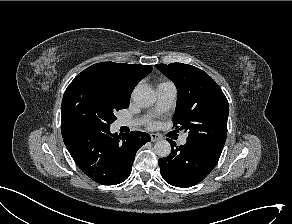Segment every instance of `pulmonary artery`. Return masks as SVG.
I'll list each match as a JSON object with an SVG mask.
<instances>
[{
	"label": "pulmonary artery",
	"instance_id": "obj_1",
	"mask_svg": "<svg viewBox=\"0 0 292 224\" xmlns=\"http://www.w3.org/2000/svg\"><path fill=\"white\" fill-rule=\"evenodd\" d=\"M156 93H157V100H156L155 108L152 113L153 115H159L167 111L172 106L176 98L177 90L173 83L165 82L157 86ZM146 121H147V118H143L139 121H130L126 119H121L119 120V125L120 126H136ZM186 141H187V137L185 135L180 138L181 144H185Z\"/></svg>",
	"mask_w": 292,
	"mask_h": 224
}]
</instances>
